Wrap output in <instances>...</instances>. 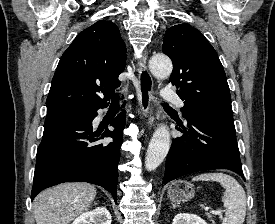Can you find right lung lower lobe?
<instances>
[{"instance_id":"98d812e1","label":"right lung lower lobe","mask_w":275,"mask_h":224,"mask_svg":"<svg viewBox=\"0 0 275 224\" xmlns=\"http://www.w3.org/2000/svg\"><path fill=\"white\" fill-rule=\"evenodd\" d=\"M83 114L46 117L41 144L37 149L31 200L45 188L63 182L82 181L107 189L116 200L120 146L123 140L125 111L110 123L113 131H94L92 121L97 110ZM102 133V134H101ZM105 137L110 143H101Z\"/></svg>"}]
</instances>
